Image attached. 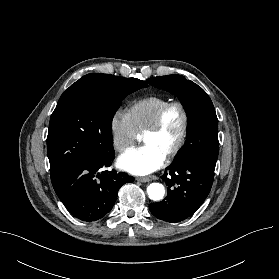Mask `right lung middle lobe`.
<instances>
[{
    "label": "right lung middle lobe",
    "instance_id": "1",
    "mask_svg": "<svg viewBox=\"0 0 279 279\" xmlns=\"http://www.w3.org/2000/svg\"><path fill=\"white\" fill-rule=\"evenodd\" d=\"M144 87L142 80L102 73L87 74L72 84L60 97L49 123L51 180L81 161L113 154V115L127 95Z\"/></svg>",
    "mask_w": 279,
    "mask_h": 279
}]
</instances>
